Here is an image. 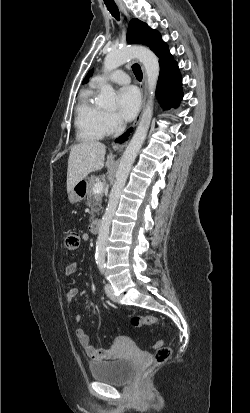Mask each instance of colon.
Masks as SVG:
<instances>
[{"label": "colon", "instance_id": "colon-1", "mask_svg": "<svg viewBox=\"0 0 250 413\" xmlns=\"http://www.w3.org/2000/svg\"><path fill=\"white\" fill-rule=\"evenodd\" d=\"M64 246L67 251H76L80 247V237L75 232H69L66 234L64 239ZM160 322V319L153 315H136L132 318V325L136 328H142L150 325H154ZM153 348L155 349L154 355V366L161 365L168 361L172 355V348L165 346L163 341L159 340L154 343ZM153 371V368L147 369L143 378L148 377Z\"/></svg>", "mask_w": 250, "mask_h": 413}]
</instances>
